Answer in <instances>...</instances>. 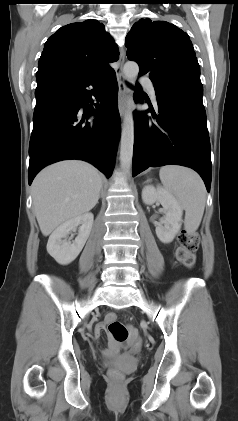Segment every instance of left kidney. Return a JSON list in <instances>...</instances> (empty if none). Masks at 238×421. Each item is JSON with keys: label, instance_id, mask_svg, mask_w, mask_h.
<instances>
[{"label": "left kidney", "instance_id": "1", "mask_svg": "<svg viewBox=\"0 0 238 421\" xmlns=\"http://www.w3.org/2000/svg\"><path fill=\"white\" fill-rule=\"evenodd\" d=\"M142 200L146 205H152L155 202L161 203L165 215L156 226V235L162 243H171L182 225L183 210L178 201L161 186L155 188L152 185L143 188Z\"/></svg>", "mask_w": 238, "mask_h": 421}]
</instances>
